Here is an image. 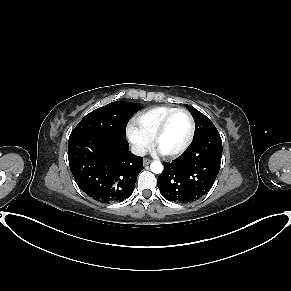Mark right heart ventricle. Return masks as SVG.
<instances>
[{
	"mask_svg": "<svg viewBox=\"0 0 291 291\" xmlns=\"http://www.w3.org/2000/svg\"><path fill=\"white\" fill-rule=\"evenodd\" d=\"M177 108L157 106L138 114L134 122L136 126L151 140L163 119Z\"/></svg>",
	"mask_w": 291,
	"mask_h": 291,
	"instance_id": "e07e8e85",
	"label": "right heart ventricle"
}]
</instances>
